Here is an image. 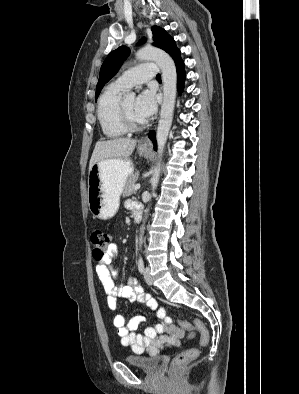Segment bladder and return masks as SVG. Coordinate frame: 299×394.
<instances>
[{
  "label": "bladder",
  "mask_w": 299,
  "mask_h": 394,
  "mask_svg": "<svg viewBox=\"0 0 299 394\" xmlns=\"http://www.w3.org/2000/svg\"><path fill=\"white\" fill-rule=\"evenodd\" d=\"M124 361L145 372H152L159 366L161 358L159 356L127 355Z\"/></svg>",
  "instance_id": "31cf9c89"
}]
</instances>
